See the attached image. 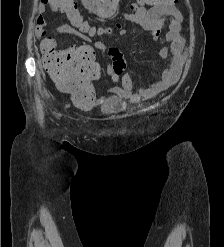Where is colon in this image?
<instances>
[{
    "label": "colon",
    "instance_id": "1",
    "mask_svg": "<svg viewBox=\"0 0 224 247\" xmlns=\"http://www.w3.org/2000/svg\"><path fill=\"white\" fill-rule=\"evenodd\" d=\"M178 0H137L132 6L136 10L142 6L168 7ZM59 7L68 24L80 34L93 37L111 33L109 28H96L87 23L79 14L75 0H60ZM109 57L114 73L121 74L125 69V61L118 49H111ZM45 68L56 84L72 93L74 103L80 107H91L97 103L90 81L99 76V66L94 62L92 49L80 47L64 54H53V50L45 59Z\"/></svg>",
    "mask_w": 224,
    "mask_h": 247
}]
</instances>
